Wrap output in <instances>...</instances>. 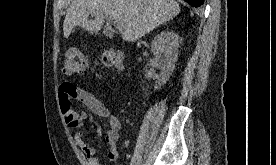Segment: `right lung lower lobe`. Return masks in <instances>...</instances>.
Instances as JSON below:
<instances>
[{
    "instance_id": "obj_1",
    "label": "right lung lower lobe",
    "mask_w": 276,
    "mask_h": 165,
    "mask_svg": "<svg viewBox=\"0 0 276 165\" xmlns=\"http://www.w3.org/2000/svg\"><path fill=\"white\" fill-rule=\"evenodd\" d=\"M189 3L191 6L199 7L204 3V0H184Z\"/></svg>"
}]
</instances>
